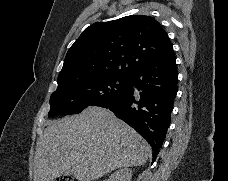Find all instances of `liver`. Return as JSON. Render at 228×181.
<instances>
[{
	"instance_id": "6515ba94",
	"label": "liver",
	"mask_w": 228,
	"mask_h": 181,
	"mask_svg": "<svg viewBox=\"0 0 228 181\" xmlns=\"http://www.w3.org/2000/svg\"><path fill=\"white\" fill-rule=\"evenodd\" d=\"M151 147L109 109L87 107L80 115L49 123L37 141L34 181H54L72 167L77 181H96L121 167H141Z\"/></svg>"
}]
</instances>
